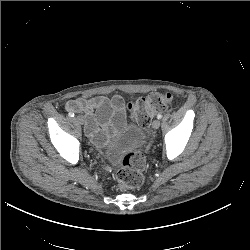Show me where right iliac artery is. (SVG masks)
Wrapping results in <instances>:
<instances>
[{
  "label": "right iliac artery",
  "instance_id": "82829eb1",
  "mask_svg": "<svg viewBox=\"0 0 250 250\" xmlns=\"http://www.w3.org/2000/svg\"><path fill=\"white\" fill-rule=\"evenodd\" d=\"M68 116H69V117H74V113L70 112V113L68 114Z\"/></svg>",
  "mask_w": 250,
  "mask_h": 250
}]
</instances>
